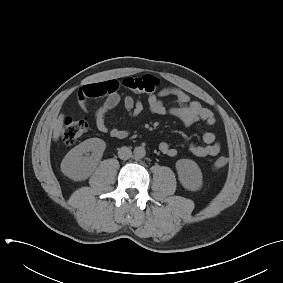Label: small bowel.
<instances>
[{
  "mask_svg": "<svg viewBox=\"0 0 283 283\" xmlns=\"http://www.w3.org/2000/svg\"><path fill=\"white\" fill-rule=\"evenodd\" d=\"M120 82L117 80H108L96 83H90L81 87L78 91V104L83 110H87V99L104 97V102L96 109L94 121L97 129L102 133H108L116 139L128 137L129 131L116 127H109L106 121L107 114L113 110L121 101L130 117L140 116L145 109L144 103L130 95L121 97L118 93ZM167 96L175 97V103L171 107H166L163 98ZM148 109L154 115H171L177 118L185 125H191L202 121L207 127L212 128L216 123L214 113L204 107L200 102L192 100L183 90L176 87H166L157 94L148 97ZM189 152L196 157H213L219 154L221 144L216 139L213 131L208 130L203 134V144L191 143L188 147ZM159 150L169 156L177 155V149L168 142H161Z\"/></svg>",
  "mask_w": 283,
  "mask_h": 283,
  "instance_id": "c3829d8e",
  "label": "small bowel"
}]
</instances>
